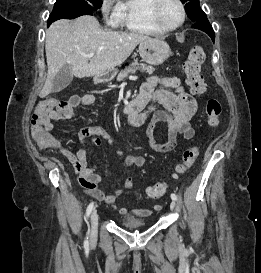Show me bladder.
I'll use <instances>...</instances> for the list:
<instances>
[{"label":"bladder","instance_id":"obj_1","mask_svg":"<svg viewBox=\"0 0 261 273\" xmlns=\"http://www.w3.org/2000/svg\"><path fill=\"white\" fill-rule=\"evenodd\" d=\"M120 224L123 227L129 228V229H136L141 228L146 225V221L140 218H137L133 215H127L120 220Z\"/></svg>","mask_w":261,"mask_h":273}]
</instances>
